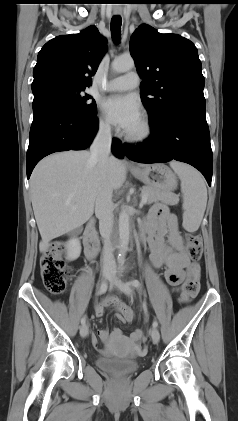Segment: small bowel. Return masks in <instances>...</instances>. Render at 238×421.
Wrapping results in <instances>:
<instances>
[{"instance_id":"obj_1","label":"small bowel","mask_w":238,"mask_h":421,"mask_svg":"<svg viewBox=\"0 0 238 421\" xmlns=\"http://www.w3.org/2000/svg\"><path fill=\"white\" fill-rule=\"evenodd\" d=\"M142 228L150 247L151 264L155 268L165 267L167 282L177 290L184 279L192 276L198 265L191 262L187 256L176 215L166 206L156 205L151 209ZM107 308H112L116 318L121 322H129L134 318L133 311L117 297L110 296L99 303L96 315L101 317ZM97 334L104 343L124 344L132 349H136L137 343L142 339L140 329L134 330L129 337L124 336L120 329L112 331L100 329ZM91 341L100 352H108L107 349L100 347L97 336L92 335Z\"/></svg>"}]
</instances>
